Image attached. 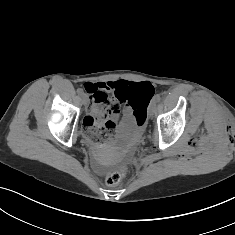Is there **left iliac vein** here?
Wrapping results in <instances>:
<instances>
[{
    "mask_svg": "<svg viewBox=\"0 0 235 235\" xmlns=\"http://www.w3.org/2000/svg\"><path fill=\"white\" fill-rule=\"evenodd\" d=\"M156 104L155 101H153L149 107V115L152 116L156 112Z\"/></svg>",
    "mask_w": 235,
    "mask_h": 235,
    "instance_id": "1",
    "label": "left iliac vein"
}]
</instances>
